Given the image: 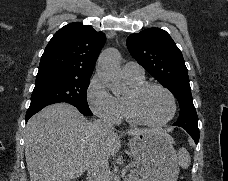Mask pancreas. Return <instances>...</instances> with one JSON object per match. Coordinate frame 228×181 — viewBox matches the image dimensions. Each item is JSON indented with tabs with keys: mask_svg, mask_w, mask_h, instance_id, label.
I'll return each mask as SVG.
<instances>
[{
	"mask_svg": "<svg viewBox=\"0 0 228 181\" xmlns=\"http://www.w3.org/2000/svg\"><path fill=\"white\" fill-rule=\"evenodd\" d=\"M130 177L131 179H128V181H140L137 171H130Z\"/></svg>",
	"mask_w": 228,
	"mask_h": 181,
	"instance_id": "pancreas-1",
	"label": "pancreas"
}]
</instances>
